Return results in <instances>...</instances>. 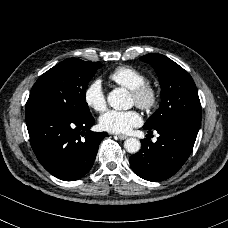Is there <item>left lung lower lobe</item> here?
Listing matches in <instances>:
<instances>
[{
    "label": "left lung lower lobe",
    "mask_w": 228,
    "mask_h": 228,
    "mask_svg": "<svg viewBox=\"0 0 228 228\" xmlns=\"http://www.w3.org/2000/svg\"><path fill=\"white\" fill-rule=\"evenodd\" d=\"M198 125L172 121L155 130L160 134L155 143L142 139V148L129 158L132 170L148 181H162L173 176L192 152ZM145 129V128H144ZM148 133H152L151 129Z\"/></svg>",
    "instance_id": "obj_1"
}]
</instances>
